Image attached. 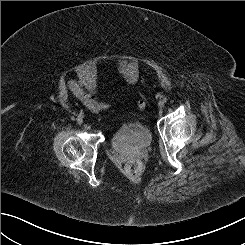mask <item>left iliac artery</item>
I'll return each mask as SVG.
<instances>
[{
    "mask_svg": "<svg viewBox=\"0 0 245 245\" xmlns=\"http://www.w3.org/2000/svg\"><path fill=\"white\" fill-rule=\"evenodd\" d=\"M163 102H165V103L167 102V98H166V97H165V98H163Z\"/></svg>",
    "mask_w": 245,
    "mask_h": 245,
    "instance_id": "obj_1",
    "label": "left iliac artery"
}]
</instances>
